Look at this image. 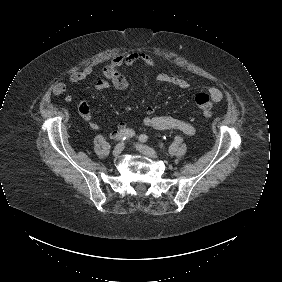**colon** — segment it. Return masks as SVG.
<instances>
[{
  "mask_svg": "<svg viewBox=\"0 0 282 282\" xmlns=\"http://www.w3.org/2000/svg\"><path fill=\"white\" fill-rule=\"evenodd\" d=\"M195 101L205 115H211L214 111V102L207 93H199L195 97Z\"/></svg>",
  "mask_w": 282,
  "mask_h": 282,
  "instance_id": "colon-1",
  "label": "colon"
}]
</instances>
